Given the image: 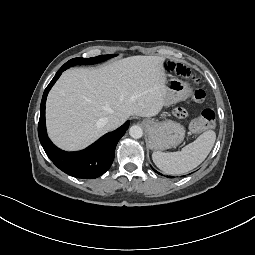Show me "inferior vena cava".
<instances>
[{"label": "inferior vena cava", "instance_id": "602c4592", "mask_svg": "<svg viewBox=\"0 0 255 255\" xmlns=\"http://www.w3.org/2000/svg\"><path fill=\"white\" fill-rule=\"evenodd\" d=\"M122 124V121L116 116H109L104 120V125L108 130H114Z\"/></svg>", "mask_w": 255, "mask_h": 255}]
</instances>
